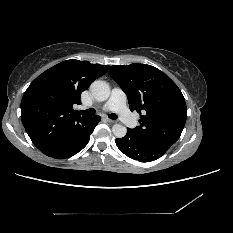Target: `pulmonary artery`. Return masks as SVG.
<instances>
[{
  "instance_id": "obj_1",
  "label": "pulmonary artery",
  "mask_w": 233,
  "mask_h": 233,
  "mask_svg": "<svg viewBox=\"0 0 233 233\" xmlns=\"http://www.w3.org/2000/svg\"><path fill=\"white\" fill-rule=\"evenodd\" d=\"M103 110L116 111L127 126H135V119L126 107V96L119 88L112 90L109 100L103 106Z\"/></svg>"
}]
</instances>
